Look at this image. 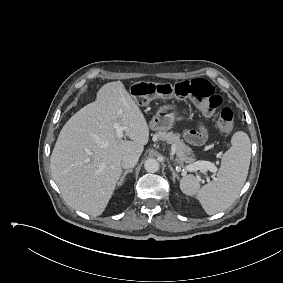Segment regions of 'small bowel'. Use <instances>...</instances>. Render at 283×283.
Here are the masks:
<instances>
[{
  "instance_id": "1",
  "label": "small bowel",
  "mask_w": 283,
  "mask_h": 283,
  "mask_svg": "<svg viewBox=\"0 0 283 283\" xmlns=\"http://www.w3.org/2000/svg\"><path fill=\"white\" fill-rule=\"evenodd\" d=\"M185 137L188 142L194 145H201L205 142L207 133L204 128H201L200 130H188L185 132Z\"/></svg>"
}]
</instances>
